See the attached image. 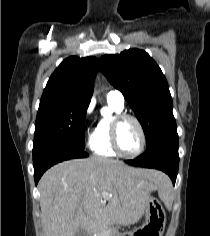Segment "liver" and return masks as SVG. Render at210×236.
<instances>
[{"mask_svg":"<svg viewBox=\"0 0 210 236\" xmlns=\"http://www.w3.org/2000/svg\"><path fill=\"white\" fill-rule=\"evenodd\" d=\"M169 185L160 171L129 167L116 160L64 161L39 181L44 235L76 236L81 228L96 236L111 223L133 225L145 213L150 194L158 191L165 199Z\"/></svg>","mask_w":210,"mask_h":236,"instance_id":"liver-1","label":"liver"}]
</instances>
